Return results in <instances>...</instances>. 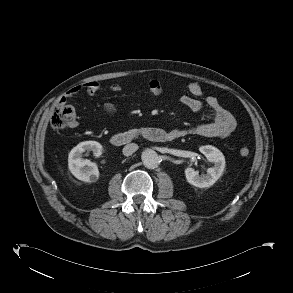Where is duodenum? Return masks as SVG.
<instances>
[{
	"instance_id": "410a0bca",
	"label": "duodenum",
	"mask_w": 293,
	"mask_h": 293,
	"mask_svg": "<svg viewBox=\"0 0 293 293\" xmlns=\"http://www.w3.org/2000/svg\"><path fill=\"white\" fill-rule=\"evenodd\" d=\"M138 137H143L152 142H168L175 139L171 133L166 132L160 128L146 127L140 130L116 133L111 137L110 142L114 146H123L132 142Z\"/></svg>"
}]
</instances>
